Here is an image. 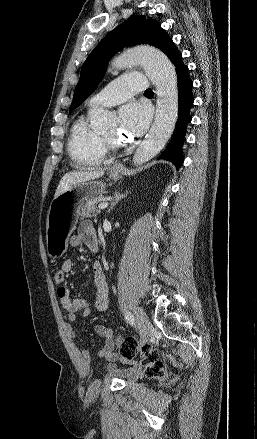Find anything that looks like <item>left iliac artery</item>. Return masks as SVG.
I'll list each match as a JSON object with an SVG mask.
<instances>
[{
	"mask_svg": "<svg viewBox=\"0 0 257 439\" xmlns=\"http://www.w3.org/2000/svg\"><path fill=\"white\" fill-rule=\"evenodd\" d=\"M125 318L129 324H131V325L134 324V317L130 312L125 313Z\"/></svg>",
	"mask_w": 257,
	"mask_h": 439,
	"instance_id": "left-iliac-artery-1",
	"label": "left iliac artery"
}]
</instances>
